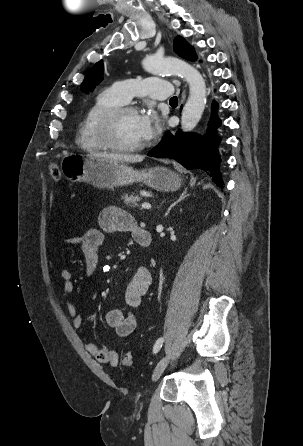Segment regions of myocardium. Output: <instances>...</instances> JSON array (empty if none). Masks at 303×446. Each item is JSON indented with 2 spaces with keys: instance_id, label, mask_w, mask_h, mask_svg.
<instances>
[{
  "instance_id": "obj_1",
  "label": "myocardium",
  "mask_w": 303,
  "mask_h": 446,
  "mask_svg": "<svg viewBox=\"0 0 303 446\" xmlns=\"http://www.w3.org/2000/svg\"><path fill=\"white\" fill-rule=\"evenodd\" d=\"M129 112L138 113L137 108L134 106L122 104L108 108L99 116L96 124V135L106 149L120 153H131L139 151L146 146L144 141L134 145H120L114 140V129L117 120L123 114Z\"/></svg>"
}]
</instances>
